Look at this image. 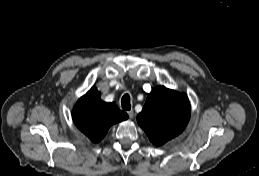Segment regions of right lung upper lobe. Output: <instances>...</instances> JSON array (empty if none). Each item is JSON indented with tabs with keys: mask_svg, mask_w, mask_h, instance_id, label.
Wrapping results in <instances>:
<instances>
[{
	"mask_svg": "<svg viewBox=\"0 0 259 176\" xmlns=\"http://www.w3.org/2000/svg\"><path fill=\"white\" fill-rule=\"evenodd\" d=\"M72 117L76 126L92 142L97 143L106 135L111 125L126 120L128 115L115 103L102 101L100 92L91 88L78 100Z\"/></svg>",
	"mask_w": 259,
	"mask_h": 176,
	"instance_id": "1",
	"label": "right lung upper lobe"
}]
</instances>
